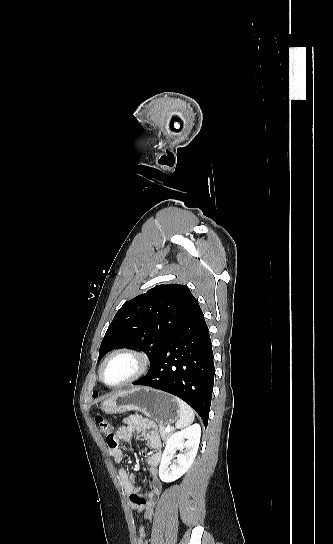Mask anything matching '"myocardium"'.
<instances>
[{"label":"myocardium","instance_id":"1","mask_svg":"<svg viewBox=\"0 0 333 544\" xmlns=\"http://www.w3.org/2000/svg\"><path fill=\"white\" fill-rule=\"evenodd\" d=\"M119 355H128V356L133 357L136 360L137 367H136V370L133 372V374L130 375L128 378H126L125 380H123V381H121V382H119L117 384L111 385V384H108L104 380V376H103L104 368H105L106 364L112 358H114L116 356H119ZM149 368H150V359L143 352H141V351H139L137 349L128 348V347L118 348V349L112 351L109 355H107L106 358L101 363V366L99 368V379L107 387L114 388V389L115 388H121V387H124L126 385H129V384L139 380L141 377H143L148 372Z\"/></svg>","mask_w":333,"mask_h":544}]
</instances>
